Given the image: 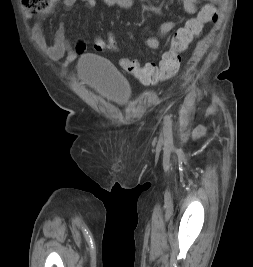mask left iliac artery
I'll list each match as a JSON object with an SVG mask.
<instances>
[{
    "mask_svg": "<svg viewBox=\"0 0 253 267\" xmlns=\"http://www.w3.org/2000/svg\"><path fill=\"white\" fill-rule=\"evenodd\" d=\"M164 132L166 139L170 140L172 137V120L168 114L164 117Z\"/></svg>",
    "mask_w": 253,
    "mask_h": 267,
    "instance_id": "44dca946",
    "label": "left iliac artery"
}]
</instances>
